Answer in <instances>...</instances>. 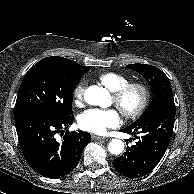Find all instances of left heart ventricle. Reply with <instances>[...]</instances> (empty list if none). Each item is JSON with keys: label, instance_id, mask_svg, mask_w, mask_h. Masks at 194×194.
Wrapping results in <instances>:
<instances>
[{"label": "left heart ventricle", "instance_id": "left-heart-ventricle-1", "mask_svg": "<svg viewBox=\"0 0 194 194\" xmlns=\"http://www.w3.org/2000/svg\"><path fill=\"white\" fill-rule=\"evenodd\" d=\"M140 101V93L137 90L131 91L125 99L124 106L127 109H132L138 105Z\"/></svg>", "mask_w": 194, "mask_h": 194}]
</instances>
